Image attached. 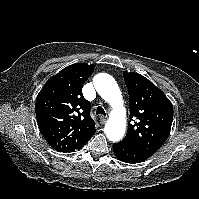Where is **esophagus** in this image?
Listing matches in <instances>:
<instances>
[{
  "mask_svg": "<svg viewBox=\"0 0 199 199\" xmlns=\"http://www.w3.org/2000/svg\"><path fill=\"white\" fill-rule=\"evenodd\" d=\"M100 122H101V124H105L106 118L104 116H101L100 117Z\"/></svg>",
  "mask_w": 199,
  "mask_h": 199,
  "instance_id": "1",
  "label": "esophagus"
}]
</instances>
